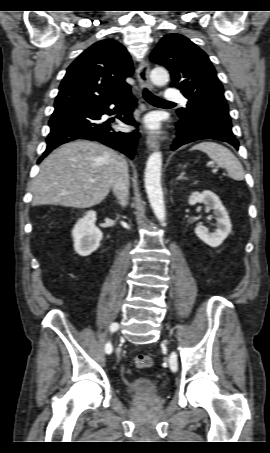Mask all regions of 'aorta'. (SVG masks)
<instances>
[{"mask_svg": "<svg viewBox=\"0 0 270 453\" xmlns=\"http://www.w3.org/2000/svg\"><path fill=\"white\" fill-rule=\"evenodd\" d=\"M151 81L157 86H163L169 81V74L166 69L156 67L151 71ZM162 153L153 152L146 163L145 168V189L151 208L160 222L165 221V204L161 187Z\"/></svg>", "mask_w": 270, "mask_h": 453, "instance_id": "1", "label": "aorta"}]
</instances>
